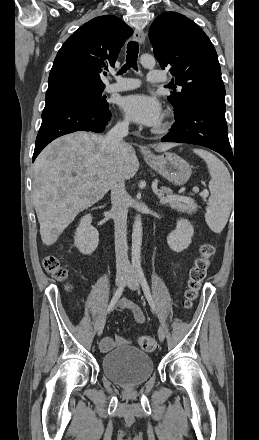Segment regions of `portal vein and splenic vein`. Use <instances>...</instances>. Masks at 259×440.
I'll return each mask as SVG.
<instances>
[{
    "instance_id": "1",
    "label": "portal vein and splenic vein",
    "mask_w": 259,
    "mask_h": 440,
    "mask_svg": "<svg viewBox=\"0 0 259 440\" xmlns=\"http://www.w3.org/2000/svg\"><path fill=\"white\" fill-rule=\"evenodd\" d=\"M198 192H199V188L195 187V188H193V193H192L191 195H193V194H195V193H198ZM201 195H202L204 198H206V197H208L209 192H208L207 190H204V191L201 193ZM174 200L184 201V202H190V201H193L192 198L187 197V196L170 195V196L162 197V198L160 199V202L163 203V204H165V203H168V202H170V201H174Z\"/></svg>"
}]
</instances>
